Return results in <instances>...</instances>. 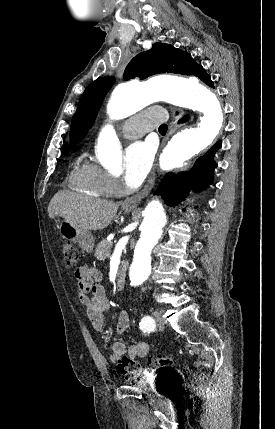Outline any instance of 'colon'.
<instances>
[{
    "label": "colon",
    "mask_w": 275,
    "mask_h": 429,
    "mask_svg": "<svg viewBox=\"0 0 275 429\" xmlns=\"http://www.w3.org/2000/svg\"><path fill=\"white\" fill-rule=\"evenodd\" d=\"M63 263L66 267H73L78 261V250L71 242H65L62 247ZM152 370L162 372L170 369L173 365V360L170 357L155 356L148 360ZM120 372L129 374L133 379L147 375L150 370L141 367V365L133 360L123 358L118 364Z\"/></svg>",
    "instance_id": "colon-1"
}]
</instances>
